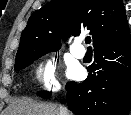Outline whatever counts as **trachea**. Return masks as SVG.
<instances>
[{
  "mask_svg": "<svg viewBox=\"0 0 131 115\" xmlns=\"http://www.w3.org/2000/svg\"><path fill=\"white\" fill-rule=\"evenodd\" d=\"M85 43H86V44H90V43H91V37H89V36L86 37V38H85Z\"/></svg>",
  "mask_w": 131,
  "mask_h": 115,
  "instance_id": "1",
  "label": "trachea"
}]
</instances>
